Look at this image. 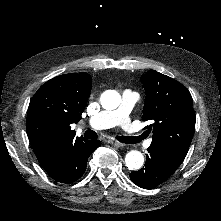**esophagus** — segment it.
<instances>
[{
  "mask_svg": "<svg viewBox=\"0 0 221 221\" xmlns=\"http://www.w3.org/2000/svg\"><path fill=\"white\" fill-rule=\"evenodd\" d=\"M106 142H108V143H110V144H112V145H115V146H117V147H122V146H123L122 143H120V142H118V141H116V140H113V139H107Z\"/></svg>",
  "mask_w": 221,
  "mask_h": 221,
  "instance_id": "esophagus-1",
  "label": "esophagus"
}]
</instances>
